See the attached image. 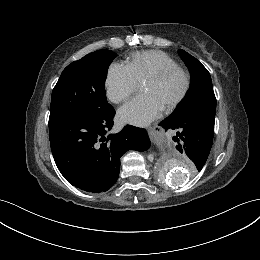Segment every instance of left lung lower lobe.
Wrapping results in <instances>:
<instances>
[{
	"mask_svg": "<svg viewBox=\"0 0 260 260\" xmlns=\"http://www.w3.org/2000/svg\"><path fill=\"white\" fill-rule=\"evenodd\" d=\"M165 130L177 131L176 148L192 160L193 168L200 171L210 153L214 137V119L197 114L172 116L159 123Z\"/></svg>",
	"mask_w": 260,
	"mask_h": 260,
	"instance_id": "1",
	"label": "left lung lower lobe"
}]
</instances>
